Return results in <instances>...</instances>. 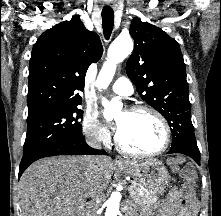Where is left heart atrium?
<instances>
[{
    "mask_svg": "<svg viewBox=\"0 0 221 216\" xmlns=\"http://www.w3.org/2000/svg\"><path fill=\"white\" fill-rule=\"evenodd\" d=\"M119 132H120V124L118 123V125H117V135L119 134Z\"/></svg>",
    "mask_w": 221,
    "mask_h": 216,
    "instance_id": "obj_1",
    "label": "left heart atrium"
}]
</instances>
